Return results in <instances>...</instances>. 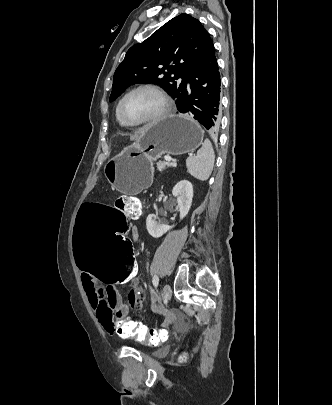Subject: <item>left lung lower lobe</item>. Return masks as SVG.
<instances>
[{"label":"left lung lower lobe","mask_w":332,"mask_h":405,"mask_svg":"<svg viewBox=\"0 0 332 405\" xmlns=\"http://www.w3.org/2000/svg\"><path fill=\"white\" fill-rule=\"evenodd\" d=\"M190 89L177 98L178 111L198 120L206 129L216 133L220 126L221 79L214 45L188 78Z\"/></svg>","instance_id":"obj_1"}]
</instances>
